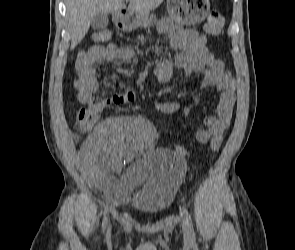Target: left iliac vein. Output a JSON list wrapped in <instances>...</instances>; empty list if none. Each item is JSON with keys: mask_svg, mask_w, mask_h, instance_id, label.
<instances>
[{"mask_svg": "<svg viewBox=\"0 0 295 250\" xmlns=\"http://www.w3.org/2000/svg\"><path fill=\"white\" fill-rule=\"evenodd\" d=\"M182 231H183L185 238H187V239L191 238L190 233H189V228H188L185 220H183V222H182Z\"/></svg>", "mask_w": 295, "mask_h": 250, "instance_id": "obj_1", "label": "left iliac vein"}]
</instances>
